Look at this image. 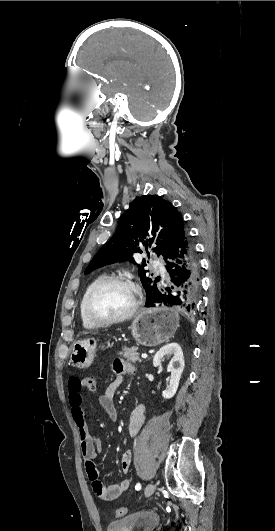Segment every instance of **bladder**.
<instances>
[{
	"label": "bladder",
	"mask_w": 275,
	"mask_h": 531,
	"mask_svg": "<svg viewBox=\"0 0 275 531\" xmlns=\"http://www.w3.org/2000/svg\"><path fill=\"white\" fill-rule=\"evenodd\" d=\"M160 518L155 513L129 514L108 524L107 531H155Z\"/></svg>",
	"instance_id": "31cf9c89"
}]
</instances>
